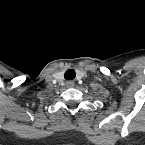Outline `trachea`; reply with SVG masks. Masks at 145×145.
<instances>
[{"mask_svg": "<svg viewBox=\"0 0 145 145\" xmlns=\"http://www.w3.org/2000/svg\"><path fill=\"white\" fill-rule=\"evenodd\" d=\"M64 77L66 80H73L75 78V71L73 69H68L65 72Z\"/></svg>", "mask_w": 145, "mask_h": 145, "instance_id": "trachea-1", "label": "trachea"}]
</instances>
